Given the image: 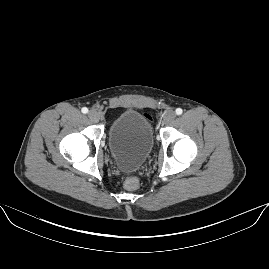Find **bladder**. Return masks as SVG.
Returning a JSON list of instances; mask_svg holds the SVG:
<instances>
[{
	"label": "bladder",
	"mask_w": 269,
	"mask_h": 269,
	"mask_svg": "<svg viewBox=\"0 0 269 269\" xmlns=\"http://www.w3.org/2000/svg\"><path fill=\"white\" fill-rule=\"evenodd\" d=\"M107 140L114 164L126 172H135L153 148V124L144 114L126 109L110 124Z\"/></svg>",
	"instance_id": "31cf9c89"
}]
</instances>
